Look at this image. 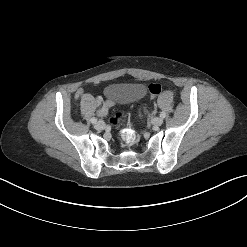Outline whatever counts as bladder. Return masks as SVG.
<instances>
[{
    "instance_id": "1",
    "label": "bladder",
    "mask_w": 247,
    "mask_h": 247,
    "mask_svg": "<svg viewBox=\"0 0 247 247\" xmlns=\"http://www.w3.org/2000/svg\"><path fill=\"white\" fill-rule=\"evenodd\" d=\"M146 93V87L141 83H123L107 86V96L119 103H129L142 98Z\"/></svg>"
}]
</instances>
